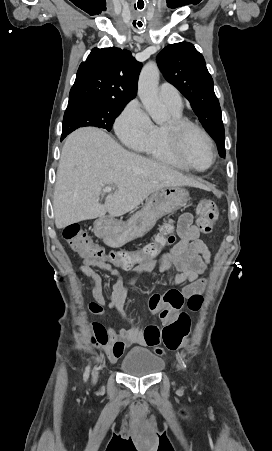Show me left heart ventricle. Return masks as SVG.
I'll return each mask as SVG.
<instances>
[{
	"label": "left heart ventricle",
	"mask_w": 272,
	"mask_h": 451,
	"mask_svg": "<svg viewBox=\"0 0 272 451\" xmlns=\"http://www.w3.org/2000/svg\"><path fill=\"white\" fill-rule=\"evenodd\" d=\"M210 161V152L201 136L196 132H189L185 138V164L195 170H205Z\"/></svg>",
	"instance_id": "left-heart-ventricle-1"
}]
</instances>
